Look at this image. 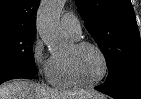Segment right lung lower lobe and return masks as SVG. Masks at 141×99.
<instances>
[{
    "instance_id": "obj_1",
    "label": "right lung lower lobe",
    "mask_w": 141,
    "mask_h": 99,
    "mask_svg": "<svg viewBox=\"0 0 141 99\" xmlns=\"http://www.w3.org/2000/svg\"><path fill=\"white\" fill-rule=\"evenodd\" d=\"M37 71H28V70H10L0 72V84L5 81L16 79V78H29L37 75Z\"/></svg>"
}]
</instances>
